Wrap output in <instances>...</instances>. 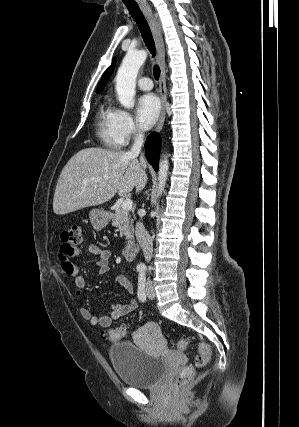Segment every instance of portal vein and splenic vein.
<instances>
[{
  "label": "portal vein and splenic vein",
  "mask_w": 299,
  "mask_h": 427,
  "mask_svg": "<svg viewBox=\"0 0 299 427\" xmlns=\"http://www.w3.org/2000/svg\"><path fill=\"white\" fill-rule=\"evenodd\" d=\"M104 178H107V176H104ZM92 180H95V179H92ZM132 205H133L132 200H130V199H126V200H124V201L122 202L121 207H122L124 210H130V209H132Z\"/></svg>",
  "instance_id": "obj_1"
}]
</instances>
